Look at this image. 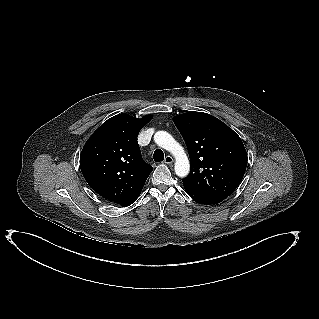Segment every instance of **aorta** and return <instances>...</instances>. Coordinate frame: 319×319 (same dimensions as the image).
<instances>
[{
  "label": "aorta",
  "instance_id": "1",
  "mask_svg": "<svg viewBox=\"0 0 319 319\" xmlns=\"http://www.w3.org/2000/svg\"><path fill=\"white\" fill-rule=\"evenodd\" d=\"M155 143L169 151L175 157V173L183 178L189 174L190 164L184 148L166 131H158L154 135Z\"/></svg>",
  "mask_w": 319,
  "mask_h": 319
}]
</instances>
